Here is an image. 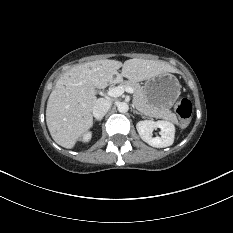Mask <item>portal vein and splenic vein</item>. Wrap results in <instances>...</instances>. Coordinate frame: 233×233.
<instances>
[{
  "mask_svg": "<svg viewBox=\"0 0 233 233\" xmlns=\"http://www.w3.org/2000/svg\"><path fill=\"white\" fill-rule=\"evenodd\" d=\"M128 92L130 94H132L134 91L131 87H127V88H123L121 86L112 88L108 91V96L110 97H119L121 96L124 92Z\"/></svg>",
  "mask_w": 233,
  "mask_h": 233,
  "instance_id": "1",
  "label": "portal vein and splenic vein"
}]
</instances>
